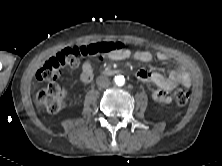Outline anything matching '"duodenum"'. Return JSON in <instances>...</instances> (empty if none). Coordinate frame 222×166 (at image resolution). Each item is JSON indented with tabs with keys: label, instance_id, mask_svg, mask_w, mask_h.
<instances>
[{
	"label": "duodenum",
	"instance_id": "1",
	"mask_svg": "<svg viewBox=\"0 0 222 166\" xmlns=\"http://www.w3.org/2000/svg\"><path fill=\"white\" fill-rule=\"evenodd\" d=\"M102 73L105 74V75H113V74H116L117 71L112 70V69H106Z\"/></svg>",
	"mask_w": 222,
	"mask_h": 166
}]
</instances>
